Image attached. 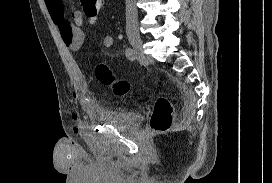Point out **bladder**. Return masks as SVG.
Listing matches in <instances>:
<instances>
[{"label":"bladder","mask_w":272,"mask_h":183,"mask_svg":"<svg viewBox=\"0 0 272 183\" xmlns=\"http://www.w3.org/2000/svg\"><path fill=\"white\" fill-rule=\"evenodd\" d=\"M104 120L116 127L133 128L138 121V114L132 111L104 112Z\"/></svg>","instance_id":"1"}]
</instances>
